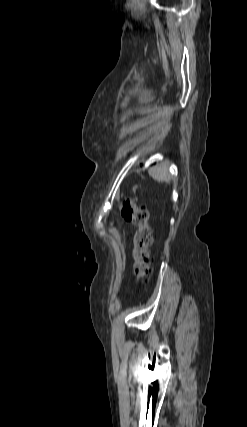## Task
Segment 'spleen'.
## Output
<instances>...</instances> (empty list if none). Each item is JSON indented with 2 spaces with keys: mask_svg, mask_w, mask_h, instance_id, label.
<instances>
[{
  "mask_svg": "<svg viewBox=\"0 0 247 427\" xmlns=\"http://www.w3.org/2000/svg\"><path fill=\"white\" fill-rule=\"evenodd\" d=\"M169 166L167 163H162L158 166L149 169L150 176L159 182H170L171 176L169 174Z\"/></svg>",
  "mask_w": 247,
  "mask_h": 427,
  "instance_id": "3e777b00",
  "label": "spleen"
}]
</instances>
